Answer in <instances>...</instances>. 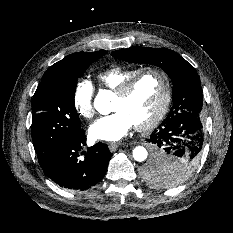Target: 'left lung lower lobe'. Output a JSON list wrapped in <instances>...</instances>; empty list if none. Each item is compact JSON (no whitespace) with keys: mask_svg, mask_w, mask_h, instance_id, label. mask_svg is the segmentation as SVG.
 <instances>
[{"mask_svg":"<svg viewBox=\"0 0 233 233\" xmlns=\"http://www.w3.org/2000/svg\"><path fill=\"white\" fill-rule=\"evenodd\" d=\"M147 141L154 147L153 158L147 166H160L172 158L185 156L200 158L204 141L203 126L200 119L191 115L177 116L164 121Z\"/></svg>","mask_w":233,"mask_h":233,"instance_id":"obj_1","label":"left lung lower lobe"}]
</instances>
